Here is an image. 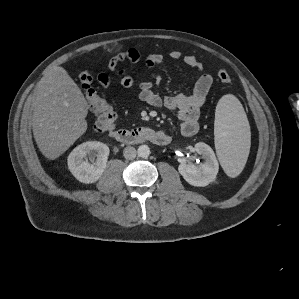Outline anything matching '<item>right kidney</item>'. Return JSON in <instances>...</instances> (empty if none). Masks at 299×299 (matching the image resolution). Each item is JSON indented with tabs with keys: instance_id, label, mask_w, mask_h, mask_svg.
Here are the masks:
<instances>
[{
	"instance_id": "ca27d5eb",
	"label": "right kidney",
	"mask_w": 299,
	"mask_h": 299,
	"mask_svg": "<svg viewBox=\"0 0 299 299\" xmlns=\"http://www.w3.org/2000/svg\"><path fill=\"white\" fill-rule=\"evenodd\" d=\"M109 155V147L97 141L80 144L69 154L68 168L80 182L89 184L96 182L105 171Z\"/></svg>"
}]
</instances>
